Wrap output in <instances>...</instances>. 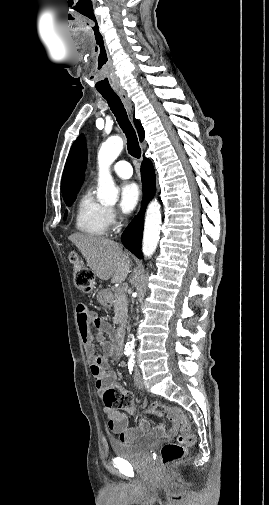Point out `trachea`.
<instances>
[{
	"instance_id": "obj_1",
	"label": "trachea",
	"mask_w": 269,
	"mask_h": 505,
	"mask_svg": "<svg viewBox=\"0 0 269 505\" xmlns=\"http://www.w3.org/2000/svg\"><path fill=\"white\" fill-rule=\"evenodd\" d=\"M100 94L107 100L108 105L116 117V120L127 138L128 153L134 158L141 157V148L139 146L138 138L133 128L127 112L124 108L121 99L114 91L100 92Z\"/></svg>"
}]
</instances>
